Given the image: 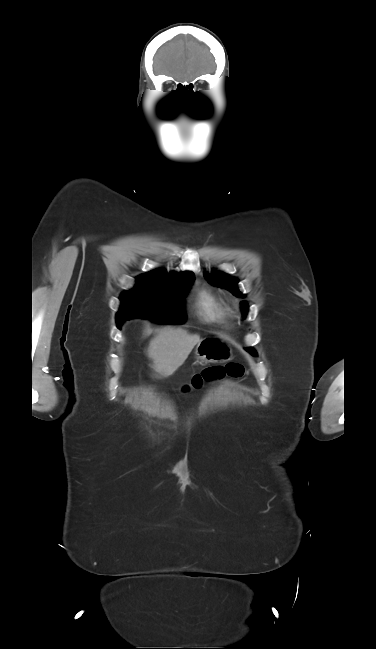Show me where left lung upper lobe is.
Wrapping results in <instances>:
<instances>
[{
	"label": "left lung upper lobe",
	"mask_w": 376,
	"mask_h": 649,
	"mask_svg": "<svg viewBox=\"0 0 376 649\" xmlns=\"http://www.w3.org/2000/svg\"><path fill=\"white\" fill-rule=\"evenodd\" d=\"M205 279L218 287H223L228 290H230L235 296L237 297H244L242 293L239 292L238 290V280L236 278H232L228 276L227 274H224L222 272H212L211 275L208 273H204ZM243 305V313L247 312V305L245 303H242ZM254 356H257V354H253Z\"/></svg>",
	"instance_id": "1"
}]
</instances>
